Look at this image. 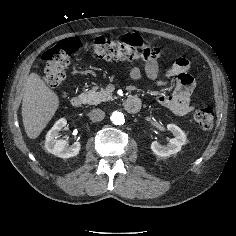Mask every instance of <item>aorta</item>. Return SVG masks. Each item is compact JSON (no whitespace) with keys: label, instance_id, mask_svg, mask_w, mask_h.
<instances>
[{"label":"aorta","instance_id":"1","mask_svg":"<svg viewBox=\"0 0 236 236\" xmlns=\"http://www.w3.org/2000/svg\"><path fill=\"white\" fill-rule=\"evenodd\" d=\"M110 119L115 125H122L125 122L123 113L118 111L113 112Z\"/></svg>","mask_w":236,"mask_h":236}]
</instances>
